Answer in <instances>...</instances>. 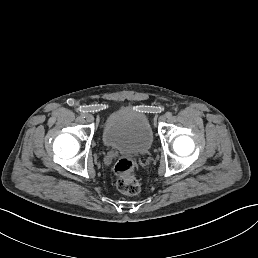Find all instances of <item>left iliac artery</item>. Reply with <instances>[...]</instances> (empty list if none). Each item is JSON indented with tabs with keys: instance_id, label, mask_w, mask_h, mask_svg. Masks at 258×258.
I'll use <instances>...</instances> for the list:
<instances>
[{
	"instance_id": "left-iliac-artery-1",
	"label": "left iliac artery",
	"mask_w": 258,
	"mask_h": 258,
	"mask_svg": "<svg viewBox=\"0 0 258 258\" xmlns=\"http://www.w3.org/2000/svg\"><path fill=\"white\" fill-rule=\"evenodd\" d=\"M165 116H166L167 118H170V117L172 116V112H167V113L165 114Z\"/></svg>"
}]
</instances>
